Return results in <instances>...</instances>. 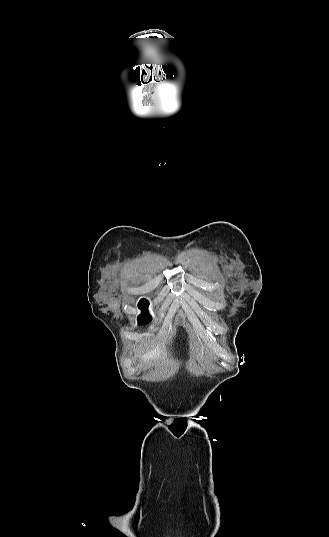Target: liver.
<instances>
[{"label":"liver","mask_w":329,"mask_h":537,"mask_svg":"<svg viewBox=\"0 0 329 537\" xmlns=\"http://www.w3.org/2000/svg\"><path fill=\"white\" fill-rule=\"evenodd\" d=\"M161 354H163V350L160 349V347H156L153 350L145 353L142 356V360L145 361V362L149 361V360H153L155 358H159L161 356Z\"/></svg>","instance_id":"6515ba94"}]
</instances>
